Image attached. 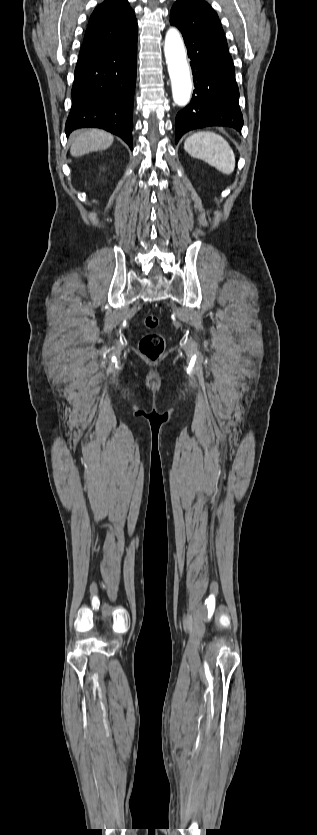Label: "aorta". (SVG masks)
I'll use <instances>...</instances> for the list:
<instances>
[{
    "mask_svg": "<svg viewBox=\"0 0 317 835\" xmlns=\"http://www.w3.org/2000/svg\"><path fill=\"white\" fill-rule=\"evenodd\" d=\"M164 54L171 80L173 101L179 107H184L190 101L192 81L183 40L174 27L166 33Z\"/></svg>",
    "mask_w": 317,
    "mask_h": 835,
    "instance_id": "obj_1",
    "label": "aorta"
}]
</instances>
